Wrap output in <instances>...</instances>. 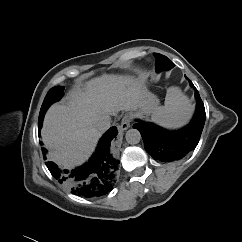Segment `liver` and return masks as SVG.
<instances>
[{"instance_id": "obj_1", "label": "liver", "mask_w": 242, "mask_h": 242, "mask_svg": "<svg viewBox=\"0 0 242 242\" xmlns=\"http://www.w3.org/2000/svg\"><path fill=\"white\" fill-rule=\"evenodd\" d=\"M141 80L129 76L103 75L74 87L60 103L48 110L42 128L45 144L55 159L64 164H80L94 151L102 134L96 122L102 115L119 111L149 115L152 106Z\"/></svg>"}]
</instances>
